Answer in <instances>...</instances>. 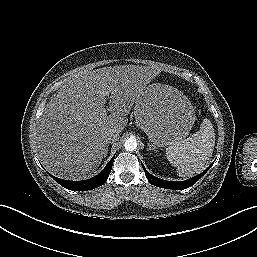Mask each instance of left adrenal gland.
<instances>
[{"label": "left adrenal gland", "instance_id": "a2214340", "mask_svg": "<svg viewBox=\"0 0 257 257\" xmlns=\"http://www.w3.org/2000/svg\"><path fill=\"white\" fill-rule=\"evenodd\" d=\"M147 145H148V150H154V151H156V148L153 147V145H150V143H147Z\"/></svg>", "mask_w": 257, "mask_h": 257}]
</instances>
